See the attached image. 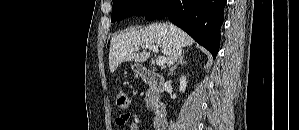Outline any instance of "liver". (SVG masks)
Instances as JSON below:
<instances>
[{
  "instance_id": "1",
  "label": "liver",
  "mask_w": 299,
  "mask_h": 130,
  "mask_svg": "<svg viewBox=\"0 0 299 130\" xmlns=\"http://www.w3.org/2000/svg\"><path fill=\"white\" fill-rule=\"evenodd\" d=\"M174 28L175 34L173 35L168 24L156 23L140 30H129L114 36L109 51L110 72L113 73L122 62H144L150 57V52H134L136 47L157 44L168 59L175 42L181 48L191 46L194 43L186 32L177 27Z\"/></svg>"
}]
</instances>
